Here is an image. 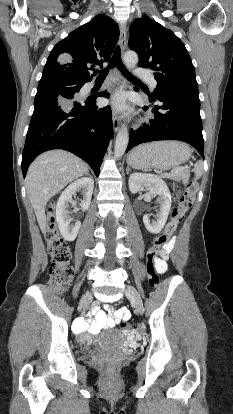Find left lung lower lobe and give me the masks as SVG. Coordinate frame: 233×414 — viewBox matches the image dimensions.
<instances>
[{
    "instance_id": "1",
    "label": "left lung lower lobe",
    "mask_w": 233,
    "mask_h": 414,
    "mask_svg": "<svg viewBox=\"0 0 233 414\" xmlns=\"http://www.w3.org/2000/svg\"><path fill=\"white\" fill-rule=\"evenodd\" d=\"M155 99L162 104L155 105ZM149 101L154 117L138 130H131L126 152L145 142L180 140L192 145L204 158L198 89L163 91L154 98L149 97ZM147 108L144 107V110Z\"/></svg>"
}]
</instances>
